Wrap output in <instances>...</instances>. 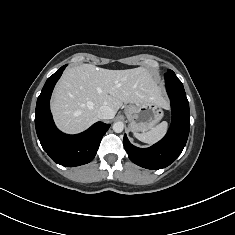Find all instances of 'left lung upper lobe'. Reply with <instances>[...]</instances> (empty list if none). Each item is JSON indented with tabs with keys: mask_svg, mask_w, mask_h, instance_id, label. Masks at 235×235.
<instances>
[{
	"mask_svg": "<svg viewBox=\"0 0 235 235\" xmlns=\"http://www.w3.org/2000/svg\"><path fill=\"white\" fill-rule=\"evenodd\" d=\"M166 75L175 76V73H174L172 70H168L167 73H165V76H166Z\"/></svg>",
	"mask_w": 235,
	"mask_h": 235,
	"instance_id": "1",
	"label": "left lung upper lobe"
}]
</instances>
